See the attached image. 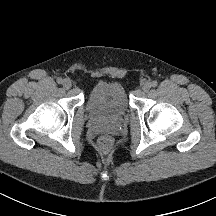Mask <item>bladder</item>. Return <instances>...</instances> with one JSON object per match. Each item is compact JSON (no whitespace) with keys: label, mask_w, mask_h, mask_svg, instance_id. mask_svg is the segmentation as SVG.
I'll list each match as a JSON object with an SVG mask.
<instances>
[{"label":"bladder","mask_w":216,"mask_h":216,"mask_svg":"<svg viewBox=\"0 0 216 216\" xmlns=\"http://www.w3.org/2000/svg\"><path fill=\"white\" fill-rule=\"evenodd\" d=\"M128 101L123 86L117 82L101 81L89 92L86 111L98 121L116 123L128 113Z\"/></svg>","instance_id":"1"}]
</instances>
